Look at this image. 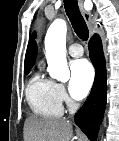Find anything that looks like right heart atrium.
<instances>
[{"label":"right heart atrium","instance_id":"1","mask_svg":"<svg viewBox=\"0 0 119 141\" xmlns=\"http://www.w3.org/2000/svg\"><path fill=\"white\" fill-rule=\"evenodd\" d=\"M57 91L61 102L69 103V98L62 84H57Z\"/></svg>","mask_w":119,"mask_h":141}]
</instances>
